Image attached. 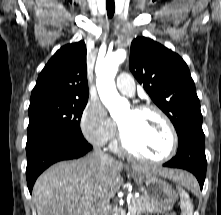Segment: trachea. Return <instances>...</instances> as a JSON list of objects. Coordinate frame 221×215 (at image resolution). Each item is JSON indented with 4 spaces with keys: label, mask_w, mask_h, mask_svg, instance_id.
<instances>
[{
    "label": "trachea",
    "mask_w": 221,
    "mask_h": 215,
    "mask_svg": "<svg viewBox=\"0 0 221 215\" xmlns=\"http://www.w3.org/2000/svg\"><path fill=\"white\" fill-rule=\"evenodd\" d=\"M106 10L109 18H112L115 12L114 0H106Z\"/></svg>",
    "instance_id": "trachea-1"
}]
</instances>
